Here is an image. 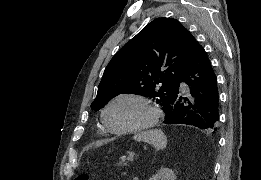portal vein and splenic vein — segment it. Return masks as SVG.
Segmentation results:
<instances>
[{"instance_id": "obj_1", "label": "portal vein and splenic vein", "mask_w": 261, "mask_h": 180, "mask_svg": "<svg viewBox=\"0 0 261 180\" xmlns=\"http://www.w3.org/2000/svg\"><path fill=\"white\" fill-rule=\"evenodd\" d=\"M134 156H135L134 152H130L129 157H128V162L134 161L135 160Z\"/></svg>"}]
</instances>
